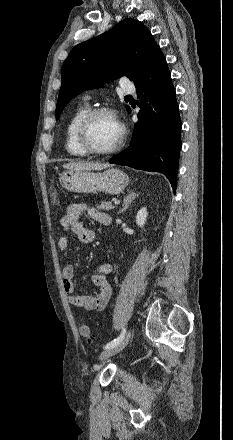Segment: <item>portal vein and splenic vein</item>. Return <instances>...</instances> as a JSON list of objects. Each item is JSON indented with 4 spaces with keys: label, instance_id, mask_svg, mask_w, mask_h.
Listing matches in <instances>:
<instances>
[{
    "label": "portal vein and splenic vein",
    "instance_id": "portal-vein-and-splenic-vein-1",
    "mask_svg": "<svg viewBox=\"0 0 233 440\" xmlns=\"http://www.w3.org/2000/svg\"><path fill=\"white\" fill-rule=\"evenodd\" d=\"M119 203H120V201H115L114 202L115 205H118Z\"/></svg>",
    "mask_w": 233,
    "mask_h": 440
}]
</instances>
